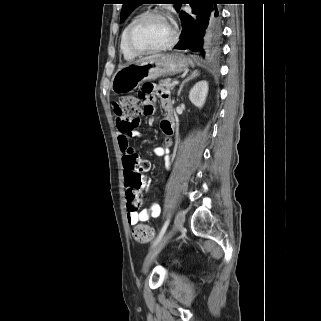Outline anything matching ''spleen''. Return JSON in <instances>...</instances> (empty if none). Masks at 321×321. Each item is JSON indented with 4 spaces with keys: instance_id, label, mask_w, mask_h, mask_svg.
Returning a JSON list of instances; mask_svg holds the SVG:
<instances>
[{
    "instance_id": "spleen-1",
    "label": "spleen",
    "mask_w": 321,
    "mask_h": 321,
    "mask_svg": "<svg viewBox=\"0 0 321 321\" xmlns=\"http://www.w3.org/2000/svg\"><path fill=\"white\" fill-rule=\"evenodd\" d=\"M189 62H190V64L193 66V62H192V60H191V59H189Z\"/></svg>"
}]
</instances>
